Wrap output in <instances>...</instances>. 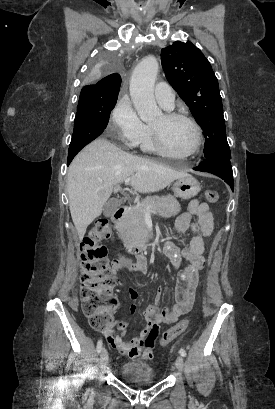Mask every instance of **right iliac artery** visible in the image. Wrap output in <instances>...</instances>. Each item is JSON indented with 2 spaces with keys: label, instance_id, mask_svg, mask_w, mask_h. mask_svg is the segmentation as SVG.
Listing matches in <instances>:
<instances>
[{
  "label": "right iliac artery",
  "instance_id": "obj_1",
  "mask_svg": "<svg viewBox=\"0 0 275 409\" xmlns=\"http://www.w3.org/2000/svg\"><path fill=\"white\" fill-rule=\"evenodd\" d=\"M103 349V342L102 340H99L97 343V353L99 354Z\"/></svg>",
  "mask_w": 275,
  "mask_h": 409
}]
</instances>
